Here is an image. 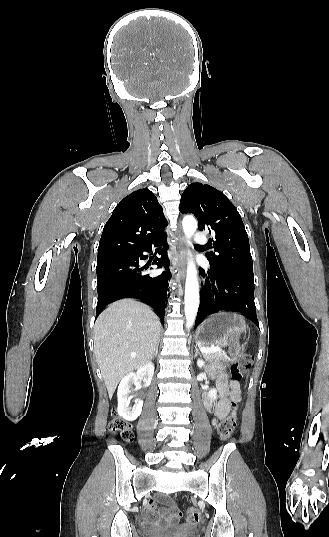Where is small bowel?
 <instances>
[{
	"mask_svg": "<svg viewBox=\"0 0 329 537\" xmlns=\"http://www.w3.org/2000/svg\"><path fill=\"white\" fill-rule=\"evenodd\" d=\"M211 371L217 378L216 393L219 396V401L214 405L212 401L213 393L209 391L205 394L204 404L208 411H213V424L214 426H218L222 421L235 413L228 395L232 393L239 394L240 385L237 380H228L227 374L220 365L215 366ZM162 500L167 506L161 507L158 510H155V500L151 499L147 502L145 519L151 522L160 521L164 527L177 525L181 516L179 509L171 503L169 497H163Z\"/></svg>",
	"mask_w": 329,
	"mask_h": 537,
	"instance_id": "obj_1",
	"label": "small bowel"
}]
</instances>
